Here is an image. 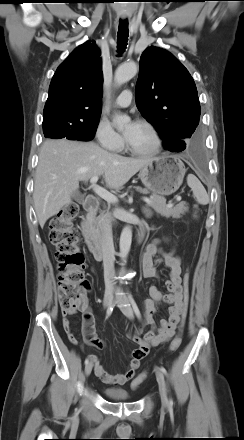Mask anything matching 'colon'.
<instances>
[{"label": "colon", "instance_id": "1", "mask_svg": "<svg viewBox=\"0 0 244 440\" xmlns=\"http://www.w3.org/2000/svg\"><path fill=\"white\" fill-rule=\"evenodd\" d=\"M79 213V206L72 202L65 205L50 221L49 239L56 247V260L58 264V299L64 317L75 314L87 308V292L89 282L85 279V254L79 246L80 236L74 227V220ZM183 300L181 316L184 321L190 301V272L187 267L183 274ZM181 345V335H177L169 346L170 351H175ZM146 346H140L135 353L143 358L147 352ZM147 377L144 371L134 378L132 388L136 389Z\"/></svg>", "mask_w": 244, "mask_h": 440}]
</instances>
